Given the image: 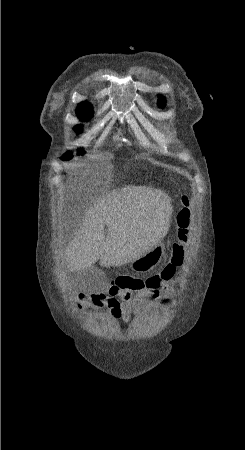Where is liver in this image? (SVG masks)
I'll return each mask as SVG.
<instances>
[{"label": "liver", "mask_w": 245, "mask_h": 450, "mask_svg": "<svg viewBox=\"0 0 245 450\" xmlns=\"http://www.w3.org/2000/svg\"><path fill=\"white\" fill-rule=\"evenodd\" d=\"M171 216L170 197L152 187L128 185L96 197L65 251L68 269L84 270L98 260L104 267L130 263L166 235Z\"/></svg>", "instance_id": "1"}]
</instances>
